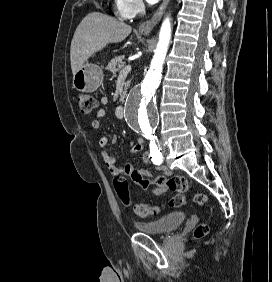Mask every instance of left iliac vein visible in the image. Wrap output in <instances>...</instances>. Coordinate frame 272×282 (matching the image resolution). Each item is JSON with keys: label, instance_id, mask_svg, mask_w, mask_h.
Returning a JSON list of instances; mask_svg holds the SVG:
<instances>
[{"label": "left iliac vein", "instance_id": "4c4485c4", "mask_svg": "<svg viewBox=\"0 0 272 282\" xmlns=\"http://www.w3.org/2000/svg\"><path fill=\"white\" fill-rule=\"evenodd\" d=\"M160 150H161L162 153L165 152V144H164V142L162 140L160 142Z\"/></svg>", "mask_w": 272, "mask_h": 282}]
</instances>
